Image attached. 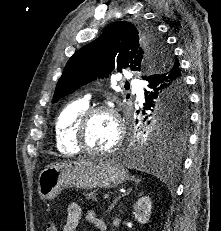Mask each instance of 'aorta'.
Returning a JSON list of instances; mask_svg holds the SVG:
<instances>
[{
    "label": "aorta",
    "mask_w": 221,
    "mask_h": 231,
    "mask_svg": "<svg viewBox=\"0 0 221 231\" xmlns=\"http://www.w3.org/2000/svg\"><path fill=\"white\" fill-rule=\"evenodd\" d=\"M151 138H152V136H148V137H147L148 142L151 141ZM132 160H133V161H136V162H146V161H138V160H136V158H134V157H132Z\"/></svg>",
    "instance_id": "obj_1"
}]
</instances>
